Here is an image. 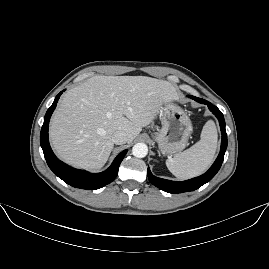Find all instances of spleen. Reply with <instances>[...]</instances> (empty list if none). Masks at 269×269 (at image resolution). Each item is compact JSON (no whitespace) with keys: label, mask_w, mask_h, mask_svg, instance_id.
I'll return each mask as SVG.
<instances>
[{"label":"spleen","mask_w":269,"mask_h":269,"mask_svg":"<svg viewBox=\"0 0 269 269\" xmlns=\"http://www.w3.org/2000/svg\"><path fill=\"white\" fill-rule=\"evenodd\" d=\"M217 142L216 125L213 120H208L203 126L200 140L195 145L166 160L168 170L180 180L204 173L213 163Z\"/></svg>","instance_id":"3e777b00"}]
</instances>
